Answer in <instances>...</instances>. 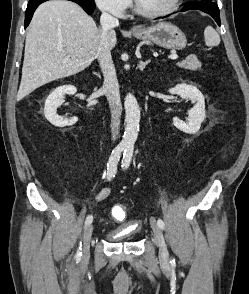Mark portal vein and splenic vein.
I'll use <instances>...</instances> for the list:
<instances>
[{"label": "portal vein and splenic vein", "mask_w": 249, "mask_h": 294, "mask_svg": "<svg viewBox=\"0 0 249 294\" xmlns=\"http://www.w3.org/2000/svg\"><path fill=\"white\" fill-rule=\"evenodd\" d=\"M170 59L176 60L178 59V55H170L169 56ZM67 60V59H66Z\"/></svg>", "instance_id": "1"}]
</instances>
